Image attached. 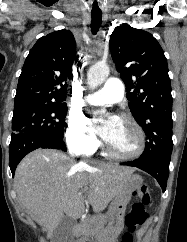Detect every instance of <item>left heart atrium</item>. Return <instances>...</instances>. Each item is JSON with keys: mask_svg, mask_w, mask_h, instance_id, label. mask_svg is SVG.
<instances>
[{"mask_svg": "<svg viewBox=\"0 0 187 242\" xmlns=\"http://www.w3.org/2000/svg\"><path fill=\"white\" fill-rule=\"evenodd\" d=\"M114 119L115 118H113V117L110 118L104 126L98 128V133L106 141L109 139V137L111 135L112 125H113Z\"/></svg>", "mask_w": 187, "mask_h": 242, "instance_id": "1", "label": "left heart atrium"}]
</instances>
